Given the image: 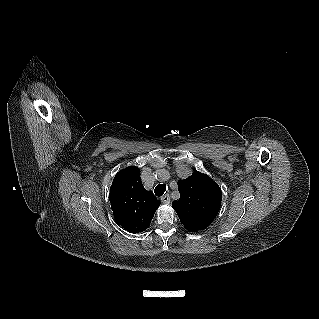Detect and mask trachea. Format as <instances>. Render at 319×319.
Returning <instances> with one entry per match:
<instances>
[{
    "instance_id": "trachea-1",
    "label": "trachea",
    "mask_w": 319,
    "mask_h": 319,
    "mask_svg": "<svg viewBox=\"0 0 319 319\" xmlns=\"http://www.w3.org/2000/svg\"><path fill=\"white\" fill-rule=\"evenodd\" d=\"M166 191V185L165 184H159L155 187V195L156 196H162L164 192Z\"/></svg>"
}]
</instances>
